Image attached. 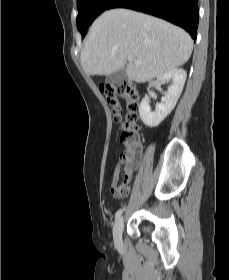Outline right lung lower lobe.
I'll return each instance as SVG.
<instances>
[{"instance_id": "98d812e1", "label": "right lung lower lobe", "mask_w": 229, "mask_h": 280, "mask_svg": "<svg viewBox=\"0 0 229 280\" xmlns=\"http://www.w3.org/2000/svg\"><path fill=\"white\" fill-rule=\"evenodd\" d=\"M198 0H114L108 9L128 8L165 19L197 38Z\"/></svg>"}]
</instances>
